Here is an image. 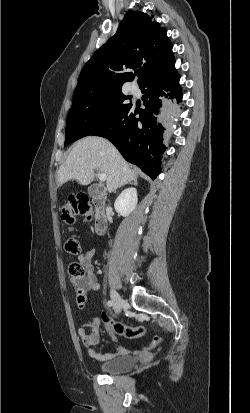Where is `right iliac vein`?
<instances>
[{
  "instance_id": "63e3f726",
  "label": "right iliac vein",
  "mask_w": 250,
  "mask_h": 413,
  "mask_svg": "<svg viewBox=\"0 0 250 413\" xmlns=\"http://www.w3.org/2000/svg\"><path fill=\"white\" fill-rule=\"evenodd\" d=\"M111 299H112L115 311L117 313L121 312L124 306V300L120 297V295L114 289H111Z\"/></svg>"
}]
</instances>
